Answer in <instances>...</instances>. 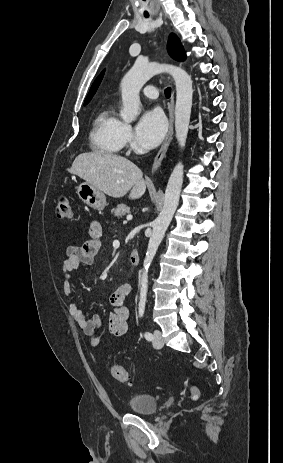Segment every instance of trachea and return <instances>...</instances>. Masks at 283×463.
I'll return each mask as SVG.
<instances>
[{"label": "trachea", "mask_w": 283, "mask_h": 463, "mask_svg": "<svg viewBox=\"0 0 283 463\" xmlns=\"http://www.w3.org/2000/svg\"><path fill=\"white\" fill-rule=\"evenodd\" d=\"M146 17H148V16L146 15ZM165 96H166V98H170V96H171V88L170 87H167L165 89Z\"/></svg>", "instance_id": "3493384b"}]
</instances>
